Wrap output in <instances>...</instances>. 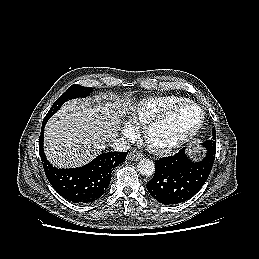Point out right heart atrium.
Masks as SVG:
<instances>
[{
  "mask_svg": "<svg viewBox=\"0 0 259 259\" xmlns=\"http://www.w3.org/2000/svg\"><path fill=\"white\" fill-rule=\"evenodd\" d=\"M122 134L126 137V138H133L135 136V129L134 127L129 124V123H125L121 129Z\"/></svg>",
  "mask_w": 259,
  "mask_h": 259,
  "instance_id": "1",
  "label": "right heart atrium"
}]
</instances>
